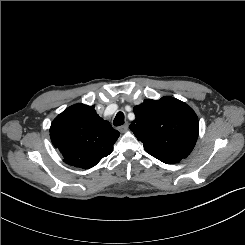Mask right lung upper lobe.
Wrapping results in <instances>:
<instances>
[{
    "label": "right lung upper lobe",
    "mask_w": 245,
    "mask_h": 245,
    "mask_svg": "<svg viewBox=\"0 0 245 245\" xmlns=\"http://www.w3.org/2000/svg\"><path fill=\"white\" fill-rule=\"evenodd\" d=\"M119 137L93 106L75 104L59 114L50 127V138L64 162L88 169L108 156Z\"/></svg>",
    "instance_id": "obj_1"
}]
</instances>
